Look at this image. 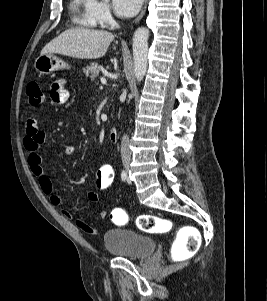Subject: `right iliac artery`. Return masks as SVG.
Segmentation results:
<instances>
[{"label": "right iliac artery", "mask_w": 267, "mask_h": 301, "mask_svg": "<svg viewBox=\"0 0 267 301\" xmlns=\"http://www.w3.org/2000/svg\"><path fill=\"white\" fill-rule=\"evenodd\" d=\"M121 179H122V181H126L127 180V173H126V171H122V173H121Z\"/></svg>", "instance_id": "82829eb1"}]
</instances>
